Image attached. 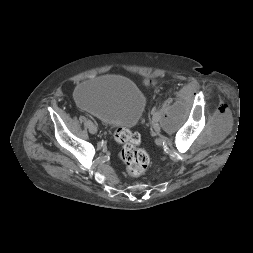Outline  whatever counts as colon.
<instances>
[{
	"instance_id": "1",
	"label": "colon",
	"mask_w": 253,
	"mask_h": 253,
	"mask_svg": "<svg viewBox=\"0 0 253 253\" xmlns=\"http://www.w3.org/2000/svg\"><path fill=\"white\" fill-rule=\"evenodd\" d=\"M115 139L121 144L120 158L128 173L134 177L143 175L149 165V156L139 147V134L125 128H118L115 131Z\"/></svg>"
}]
</instances>
